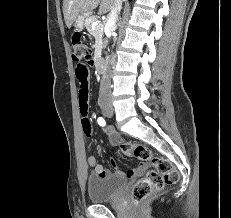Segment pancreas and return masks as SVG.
<instances>
[{"label": "pancreas", "mask_w": 231, "mask_h": 218, "mask_svg": "<svg viewBox=\"0 0 231 218\" xmlns=\"http://www.w3.org/2000/svg\"><path fill=\"white\" fill-rule=\"evenodd\" d=\"M97 21V17L88 15L85 19V27L87 31L95 38V50L100 51L102 46L103 25L99 24L96 28H92V23Z\"/></svg>", "instance_id": "pancreas-1"}]
</instances>
